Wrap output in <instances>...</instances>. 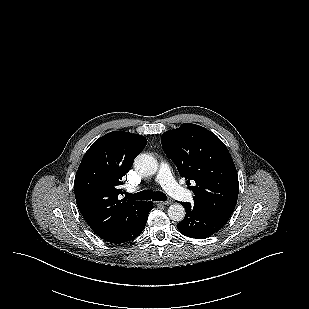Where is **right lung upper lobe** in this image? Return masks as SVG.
<instances>
[{"mask_svg":"<svg viewBox=\"0 0 309 309\" xmlns=\"http://www.w3.org/2000/svg\"><path fill=\"white\" fill-rule=\"evenodd\" d=\"M146 143L144 136L114 131L99 138L83 156L74 181L76 202L100 238L121 231L145 204L120 200L119 195L123 176Z\"/></svg>","mask_w":309,"mask_h":309,"instance_id":"right-lung-upper-lobe-1","label":"right lung upper lobe"}]
</instances>
